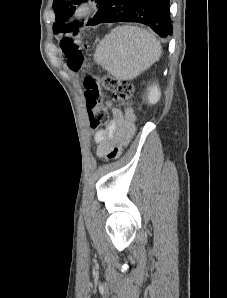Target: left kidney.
I'll return each mask as SVG.
<instances>
[{
  "mask_svg": "<svg viewBox=\"0 0 227 298\" xmlns=\"http://www.w3.org/2000/svg\"><path fill=\"white\" fill-rule=\"evenodd\" d=\"M147 99L150 104H155L161 97V91L156 83H153L147 88Z\"/></svg>",
  "mask_w": 227,
  "mask_h": 298,
  "instance_id": "left-kidney-1",
  "label": "left kidney"
}]
</instances>
